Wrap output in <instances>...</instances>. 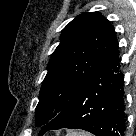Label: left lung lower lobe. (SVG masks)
Here are the masks:
<instances>
[{
	"mask_svg": "<svg viewBox=\"0 0 136 136\" xmlns=\"http://www.w3.org/2000/svg\"><path fill=\"white\" fill-rule=\"evenodd\" d=\"M115 41L104 63L39 135L61 128L83 129L96 136H123V75Z\"/></svg>",
	"mask_w": 136,
	"mask_h": 136,
	"instance_id": "1",
	"label": "left lung lower lobe"
}]
</instances>
